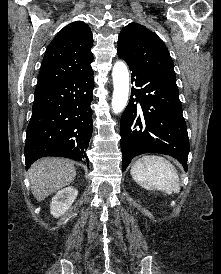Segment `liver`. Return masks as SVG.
<instances>
[{
    "instance_id": "obj_1",
    "label": "liver",
    "mask_w": 221,
    "mask_h": 274,
    "mask_svg": "<svg viewBox=\"0 0 221 274\" xmlns=\"http://www.w3.org/2000/svg\"><path fill=\"white\" fill-rule=\"evenodd\" d=\"M28 175L33 196L37 201H42L72 183L76 168L68 159L43 158L30 167Z\"/></svg>"
}]
</instances>
